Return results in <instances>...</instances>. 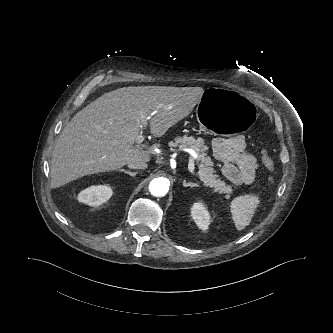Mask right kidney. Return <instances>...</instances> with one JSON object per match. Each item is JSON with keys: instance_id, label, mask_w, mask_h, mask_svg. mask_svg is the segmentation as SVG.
I'll list each match as a JSON object with an SVG mask.
<instances>
[{"instance_id": "obj_1", "label": "right kidney", "mask_w": 333, "mask_h": 333, "mask_svg": "<svg viewBox=\"0 0 333 333\" xmlns=\"http://www.w3.org/2000/svg\"><path fill=\"white\" fill-rule=\"evenodd\" d=\"M112 193L107 185L90 186L79 193L78 200L90 206H99L109 200Z\"/></svg>"}]
</instances>
